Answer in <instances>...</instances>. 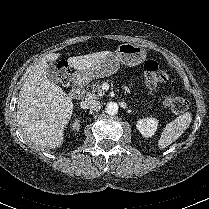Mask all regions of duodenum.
<instances>
[{"label":"duodenum","instance_id":"410a0bca","mask_svg":"<svg viewBox=\"0 0 209 209\" xmlns=\"http://www.w3.org/2000/svg\"><path fill=\"white\" fill-rule=\"evenodd\" d=\"M83 88H84V84L80 81H77L73 88L71 89L70 91V96L73 98V99H79L82 94H83Z\"/></svg>","mask_w":209,"mask_h":209}]
</instances>
